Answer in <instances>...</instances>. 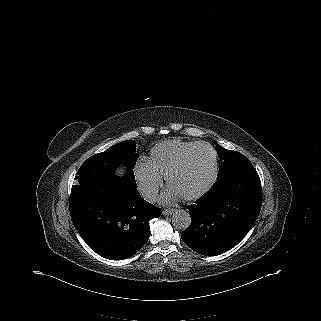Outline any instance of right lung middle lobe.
Listing matches in <instances>:
<instances>
[{"mask_svg":"<svg viewBox=\"0 0 321 321\" xmlns=\"http://www.w3.org/2000/svg\"><path fill=\"white\" fill-rule=\"evenodd\" d=\"M138 157L134 140L117 143L106 151L91 156L79 168L75 178L77 181L71 192L94 188L103 191H136L133 169ZM119 165H124L127 169L122 178L114 175L115 168Z\"/></svg>","mask_w":321,"mask_h":321,"instance_id":"obj_1","label":"right lung middle lobe"}]
</instances>
